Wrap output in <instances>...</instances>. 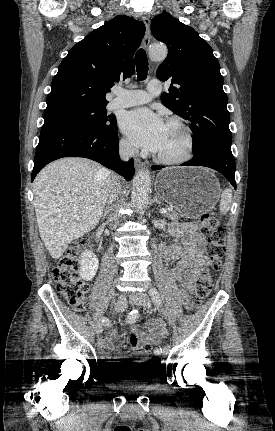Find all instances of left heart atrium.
Here are the masks:
<instances>
[{
	"label": "left heart atrium",
	"mask_w": 275,
	"mask_h": 431,
	"mask_svg": "<svg viewBox=\"0 0 275 431\" xmlns=\"http://www.w3.org/2000/svg\"><path fill=\"white\" fill-rule=\"evenodd\" d=\"M121 125L134 145L152 152L159 150L166 124L158 114L146 108L132 110L125 114Z\"/></svg>",
	"instance_id": "left-heart-atrium-1"
}]
</instances>
